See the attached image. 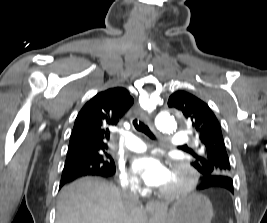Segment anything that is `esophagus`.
I'll return each instance as SVG.
<instances>
[{
	"instance_id": "esophagus-1",
	"label": "esophagus",
	"mask_w": 267,
	"mask_h": 223,
	"mask_svg": "<svg viewBox=\"0 0 267 223\" xmlns=\"http://www.w3.org/2000/svg\"><path fill=\"white\" fill-rule=\"evenodd\" d=\"M139 118H140L142 121L146 122L147 124H150L149 118H148V116H147L146 113L141 112V113L139 114ZM146 209H147L148 211H150V212L157 211V210L160 209V205H159L157 202H155V201H149V202L146 204Z\"/></svg>"
}]
</instances>
